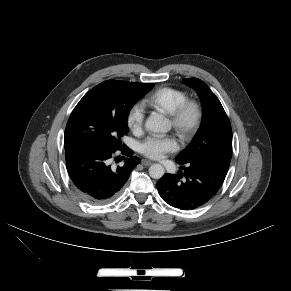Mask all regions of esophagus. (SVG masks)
Wrapping results in <instances>:
<instances>
[{"label": "esophagus", "mask_w": 291, "mask_h": 291, "mask_svg": "<svg viewBox=\"0 0 291 291\" xmlns=\"http://www.w3.org/2000/svg\"><path fill=\"white\" fill-rule=\"evenodd\" d=\"M141 164L144 165V166H149V165L152 164V162L149 161V160H146V159H142V160H141Z\"/></svg>", "instance_id": "esophagus-1"}]
</instances>
